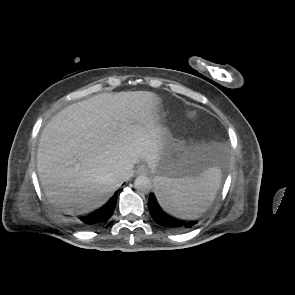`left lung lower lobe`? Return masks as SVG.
Returning <instances> with one entry per match:
<instances>
[{
  "label": "left lung lower lobe",
  "mask_w": 295,
  "mask_h": 295,
  "mask_svg": "<svg viewBox=\"0 0 295 295\" xmlns=\"http://www.w3.org/2000/svg\"><path fill=\"white\" fill-rule=\"evenodd\" d=\"M148 208L155 222L173 231L187 230L197 224V221L182 220L181 218H178L165 211L154 193L150 194Z\"/></svg>",
  "instance_id": "1"
}]
</instances>
